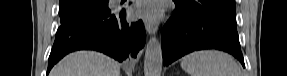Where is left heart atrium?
<instances>
[{
  "instance_id": "1",
  "label": "left heart atrium",
  "mask_w": 287,
  "mask_h": 76,
  "mask_svg": "<svg viewBox=\"0 0 287 76\" xmlns=\"http://www.w3.org/2000/svg\"><path fill=\"white\" fill-rule=\"evenodd\" d=\"M163 4L157 0H147L140 3L136 8V13L148 18H156L161 15Z\"/></svg>"
}]
</instances>
